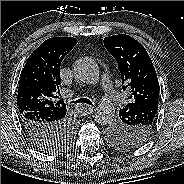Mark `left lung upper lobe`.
Returning <instances> with one entry per match:
<instances>
[{
    "label": "left lung upper lobe",
    "mask_w": 184,
    "mask_h": 184,
    "mask_svg": "<svg viewBox=\"0 0 184 184\" xmlns=\"http://www.w3.org/2000/svg\"><path fill=\"white\" fill-rule=\"evenodd\" d=\"M104 45L116 59L122 89L130 91V103L119 111V118L108 129L110 142L120 150L141 146L149 137L157 120L159 82L151 58L134 38L119 34L104 38Z\"/></svg>",
    "instance_id": "1"
}]
</instances>
